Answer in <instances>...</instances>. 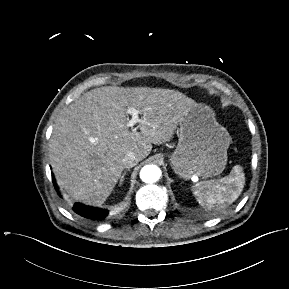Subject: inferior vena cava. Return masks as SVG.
<instances>
[{
    "label": "inferior vena cava",
    "instance_id": "602c4592",
    "mask_svg": "<svg viewBox=\"0 0 289 289\" xmlns=\"http://www.w3.org/2000/svg\"><path fill=\"white\" fill-rule=\"evenodd\" d=\"M140 158L136 156L133 152H129L125 155L123 159L124 168H132L138 164Z\"/></svg>",
    "mask_w": 289,
    "mask_h": 289
}]
</instances>
